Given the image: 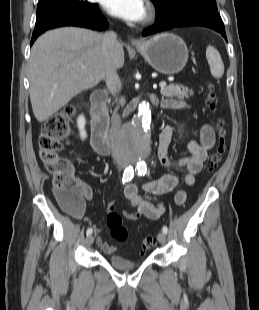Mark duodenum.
<instances>
[{"label": "duodenum", "instance_id": "obj_1", "mask_svg": "<svg viewBox=\"0 0 259 310\" xmlns=\"http://www.w3.org/2000/svg\"><path fill=\"white\" fill-rule=\"evenodd\" d=\"M107 93L97 91L91 97L92 122H91V146L97 154L106 155L111 151L109 134V117L106 108ZM154 100L153 97L149 98Z\"/></svg>", "mask_w": 259, "mask_h": 310}]
</instances>
